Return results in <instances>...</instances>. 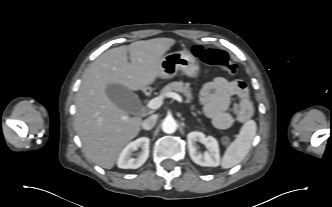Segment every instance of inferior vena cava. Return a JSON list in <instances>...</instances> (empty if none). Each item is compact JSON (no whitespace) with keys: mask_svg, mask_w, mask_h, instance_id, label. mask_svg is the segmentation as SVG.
<instances>
[{"mask_svg":"<svg viewBox=\"0 0 332 207\" xmlns=\"http://www.w3.org/2000/svg\"><path fill=\"white\" fill-rule=\"evenodd\" d=\"M156 120H157V116L156 115H152V116H149L148 118H146L142 122L143 129H145V130H151L155 126Z\"/></svg>","mask_w":332,"mask_h":207,"instance_id":"inferior-vena-cava-1","label":"inferior vena cava"}]
</instances>
